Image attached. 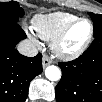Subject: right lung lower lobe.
Instances as JSON below:
<instances>
[{
	"mask_svg": "<svg viewBox=\"0 0 102 102\" xmlns=\"http://www.w3.org/2000/svg\"><path fill=\"white\" fill-rule=\"evenodd\" d=\"M26 38L19 24L0 21V101L24 102L30 81L42 72V54L35 57L21 55L16 44Z\"/></svg>",
	"mask_w": 102,
	"mask_h": 102,
	"instance_id": "obj_1",
	"label": "right lung lower lobe"
}]
</instances>
